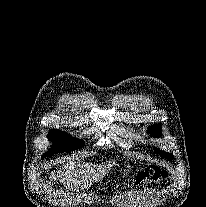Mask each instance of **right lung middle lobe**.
Returning a JSON list of instances; mask_svg holds the SVG:
<instances>
[{
	"instance_id": "1",
	"label": "right lung middle lobe",
	"mask_w": 206,
	"mask_h": 207,
	"mask_svg": "<svg viewBox=\"0 0 206 207\" xmlns=\"http://www.w3.org/2000/svg\"><path fill=\"white\" fill-rule=\"evenodd\" d=\"M48 138L54 143V147H52L49 152L45 153L43 158L46 156H51L55 153L76 150L84 146V142L81 140L70 138L65 132L56 129H53L49 132Z\"/></svg>"
}]
</instances>
